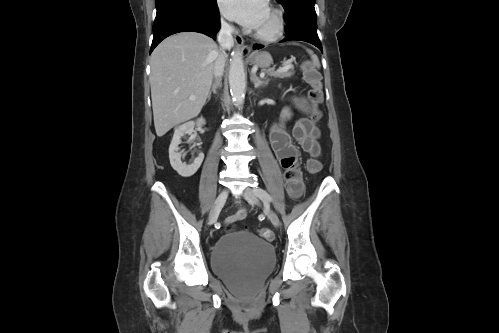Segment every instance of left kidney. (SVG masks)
Listing matches in <instances>:
<instances>
[{
	"label": "left kidney",
	"mask_w": 499,
	"mask_h": 333,
	"mask_svg": "<svg viewBox=\"0 0 499 333\" xmlns=\"http://www.w3.org/2000/svg\"><path fill=\"white\" fill-rule=\"evenodd\" d=\"M290 111L288 108H284L281 112V117L282 118H289L290 117Z\"/></svg>",
	"instance_id": "left-kidney-1"
}]
</instances>
